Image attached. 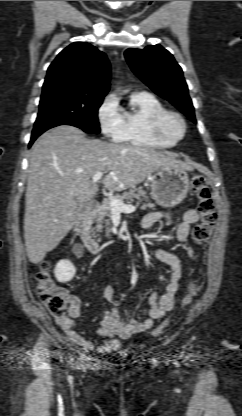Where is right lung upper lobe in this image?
I'll return each mask as SVG.
<instances>
[{
    "label": "right lung upper lobe",
    "mask_w": 242,
    "mask_h": 416,
    "mask_svg": "<svg viewBox=\"0 0 242 416\" xmlns=\"http://www.w3.org/2000/svg\"><path fill=\"white\" fill-rule=\"evenodd\" d=\"M109 81L106 55L89 43L74 42L49 66L42 96L63 93L104 97L109 91Z\"/></svg>",
    "instance_id": "right-lung-upper-lobe-1"
}]
</instances>
